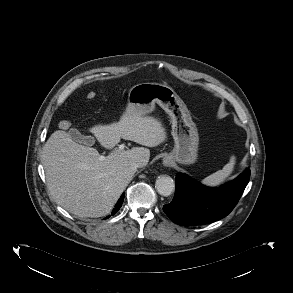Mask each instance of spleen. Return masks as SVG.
<instances>
[{
	"instance_id": "obj_1",
	"label": "spleen",
	"mask_w": 293,
	"mask_h": 293,
	"mask_svg": "<svg viewBox=\"0 0 293 293\" xmlns=\"http://www.w3.org/2000/svg\"><path fill=\"white\" fill-rule=\"evenodd\" d=\"M236 163V157L231 156L229 163H227L222 170L207 176L201 182L202 184L210 187L221 185L233 172Z\"/></svg>"
}]
</instances>
